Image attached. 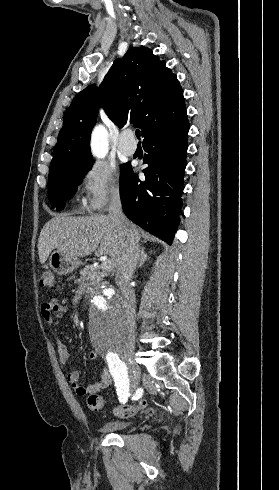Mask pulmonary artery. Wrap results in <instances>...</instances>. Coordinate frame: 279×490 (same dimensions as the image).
<instances>
[{"label":"pulmonary artery","mask_w":279,"mask_h":490,"mask_svg":"<svg viewBox=\"0 0 279 490\" xmlns=\"http://www.w3.org/2000/svg\"><path fill=\"white\" fill-rule=\"evenodd\" d=\"M119 135L120 137L115 139L116 146H121V152L127 156L134 155L136 152V139L132 137V128H120Z\"/></svg>","instance_id":"e3ab8cb5"}]
</instances>
